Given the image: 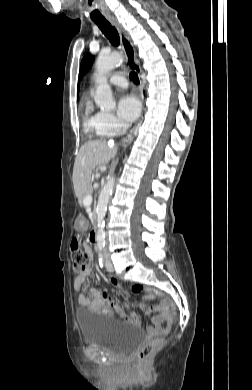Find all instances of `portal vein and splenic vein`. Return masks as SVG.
Listing matches in <instances>:
<instances>
[{"mask_svg":"<svg viewBox=\"0 0 252 390\" xmlns=\"http://www.w3.org/2000/svg\"><path fill=\"white\" fill-rule=\"evenodd\" d=\"M98 187V184H94V188H97ZM92 203V196L91 195H88L85 199H84V204L86 205H90Z\"/></svg>","mask_w":252,"mask_h":390,"instance_id":"1","label":"portal vein and splenic vein"}]
</instances>
